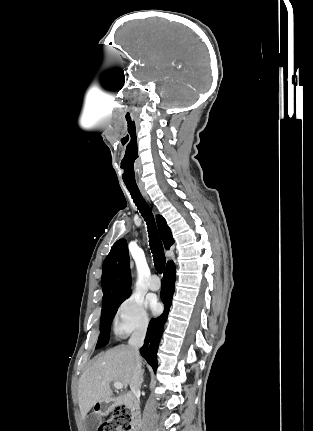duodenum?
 Wrapping results in <instances>:
<instances>
[{"mask_svg":"<svg viewBox=\"0 0 313 431\" xmlns=\"http://www.w3.org/2000/svg\"><path fill=\"white\" fill-rule=\"evenodd\" d=\"M118 402L130 409L132 415V431H137L140 427V406L137 399L133 394L127 393L121 396Z\"/></svg>","mask_w":313,"mask_h":431,"instance_id":"1","label":"duodenum"}]
</instances>
